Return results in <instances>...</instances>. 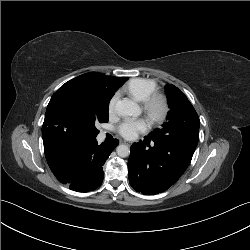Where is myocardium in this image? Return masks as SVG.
Here are the masks:
<instances>
[{
  "instance_id": "1",
  "label": "myocardium",
  "mask_w": 250,
  "mask_h": 250,
  "mask_svg": "<svg viewBox=\"0 0 250 250\" xmlns=\"http://www.w3.org/2000/svg\"><path fill=\"white\" fill-rule=\"evenodd\" d=\"M143 107L146 114L154 123H160L168 116L170 105L167 96L160 92H153L145 101Z\"/></svg>"
}]
</instances>
